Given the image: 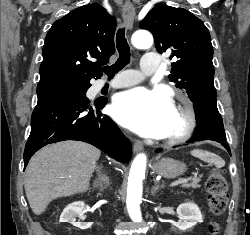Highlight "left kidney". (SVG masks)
Instances as JSON below:
<instances>
[{
  "instance_id": "obj_1",
  "label": "left kidney",
  "mask_w": 250,
  "mask_h": 235,
  "mask_svg": "<svg viewBox=\"0 0 250 235\" xmlns=\"http://www.w3.org/2000/svg\"><path fill=\"white\" fill-rule=\"evenodd\" d=\"M177 214L179 216V221L174 223L180 231H186L197 223L203 222V217L200 209L195 203H183L178 206Z\"/></svg>"
}]
</instances>
